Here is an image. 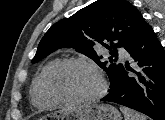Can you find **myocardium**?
I'll return each mask as SVG.
<instances>
[{"instance_id": "myocardium-1", "label": "myocardium", "mask_w": 165, "mask_h": 120, "mask_svg": "<svg viewBox=\"0 0 165 120\" xmlns=\"http://www.w3.org/2000/svg\"><path fill=\"white\" fill-rule=\"evenodd\" d=\"M72 64L83 65L94 72V74L96 75V77L99 80V88L94 94L86 96V97L70 99V98H65V97L60 96L55 91V89L53 88V85H52V81H53L55 74L62 67L67 66V65H72ZM106 87H107L106 80L103 77L100 70L97 68V66L94 63H92L84 58H79V57H69V58H64V59L58 60L57 62H55L52 65V67L49 69V71L47 72L46 77H45L46 91L49 94V96L57 103H66V104L92 103V102L99 100L105 94Z\"/></svg>"}]
</instances>
